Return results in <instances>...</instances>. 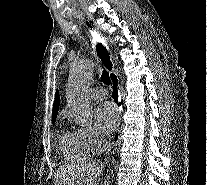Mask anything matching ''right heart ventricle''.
<instances>
[{"label": "right heart ventricle", "instance_id": "1", "mask_svg": "<svg viewBox=\"0 0 207 185\" xmlns=\"http://www.w3.org/2000/svg\"><path fill=\"white\" fill-rule=\"evenodd\" d=\"M61 150L72 161L89 160L97 152L78 132H68L62 136Z\"/></svg>", "mask_w": 207, "mask_h": 185}]
</instances>
